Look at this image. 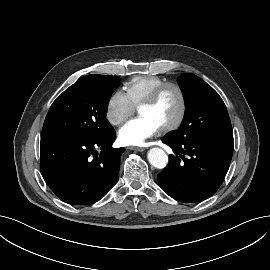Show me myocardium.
<instances>
[{"label":"myocardium","mask_w":270,"mask_h":270,"mask_svg":"<svg viewBox=\"0 0 270 270\" xmlns=\"http://www.w3.org/2000/svg\"><path fill=\"white\" fill-rule=\"evenodd\" d=\"M168 88H173L178 93L179 112L176 119L172 123L160 129L162 133H168V132L178 129L185 120L186 113H187V98H186V94L182 86L175 82H164L160 84L159 86H157L149 94V96L139 105L141 107V106H151L155 104L157 100L159 99V97L162 95V93Z\"/></svg>","instance_id":"obj_1"}]
</instances>
